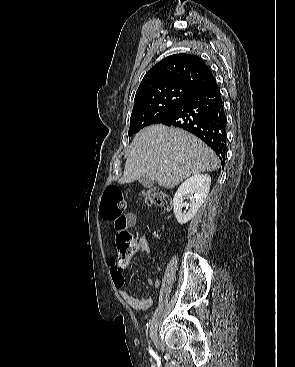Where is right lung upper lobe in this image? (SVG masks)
<instances>
[{"mask_svg":"<svg viewBox=\"0 0 295 367\" xmlns=\"http://www.w3.org/2000/svg\"><path fill=\"white\" fill-rule=\"evenodd\" d=\"M213 81L212 72L200 57L175 54L164 58L145 74L134 101L175 88L193 93Z\"/></svg>","mask_w":295,"mask_h":367,"instance_id":"right-lung-upper-lobe-1","label":"right lung upper lobe"}]
</instances>
